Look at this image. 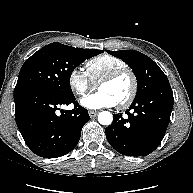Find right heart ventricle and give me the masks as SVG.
<instances>
[{"instance_id":"right-heart-ventricle-1","label":"right heart ventricle","mask_w":193,"mask_h":193,"mask_svg":"<svg viewBox=\"0 0 193 193\" xmlns=\"http://www.w3.org/2000/svg\"><path fill=\"white\" fill-rule=\"evenodd\" d=\"M86 72L90 79L95 83L98 82L110 72L127 67V64L121 58L110 54H101L89 59L85 63Z\"/></svg>"}]
</instances>
